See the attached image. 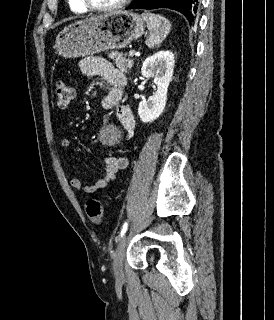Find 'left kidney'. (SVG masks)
<instances>
[{
	"label": "left kidney",
	"mask_w": 274,
	"mask_h": 320,
	"mask_svg": "<svg viewBox=\"0 0 274 320\" xmlns=\"http://www.w3.org/2000/svg\"><path fill=\"white\" fill-rule=\"evenodd\" d=\"M174 54L170 50H161L154 56H149L143 62L141 76L153 78L157 90L148 100H143L138 106V116L142 122H154L161 116L167 102V92L174 70Z\"/></svg>",
	"instance_id": "5707ae66"
}]
</instances>
